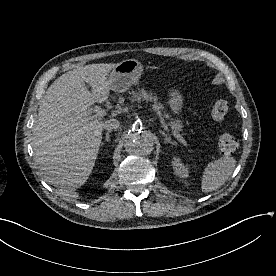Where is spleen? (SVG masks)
Here are the masks:
<instances>
[{"label":"spleen","mask_w":276,"mask_h":276,"mask_svg":"<svg viewBox=\"0 0 276 276\" xmlns=\"http://www.w3.org/2000/svg\"><path fill=\"white\" fill-rule=\"evenodd\" d=\"M236 166L233 157H222L210 162L204 170L201 189L203 192H212L221 187L231 176Z\"/></svg>","instance_id":"1"}]
</instances>
